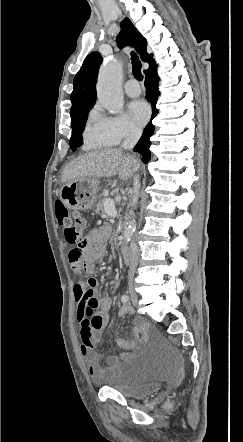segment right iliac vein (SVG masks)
<instances>
[{
  "label": "right iliac vein",
  "mask_w": 243,
  "mask_h": 442,
  "mask_svg": "<svg viewBox=\"0 0 243 442\" xmlns=\"http://www.w3.org/2000/svg\"><path fill=\"white\" fill-rule=\"evenodd\" d=\"M128 293H129V296H130L131 301H132L134 304H137V303H138V295H137V293H136V291H135V289H134V285H133V284H130V285H129V287H128Z\"/></svg>",
  "instance_id": "1"
}]
</instances>
